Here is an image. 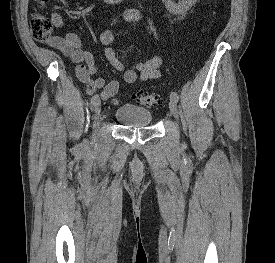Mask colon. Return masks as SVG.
I'll list each match as a JSON object with an SVG mask.
<instances>
[{"instance_id":"1","label":"colon","mask_w":275,"mask_h":263,"mask_svg":"<svg viewBox=\"0 0 275 263\" xmlns=\"http://www.w3.org/2000/svg\"><path fill=\"white\" fill-rule=\"evenodd\" d=\"M48 0H36L38 11H35L31 17V27L35 39L39 42H47L53 36V25L51 21L42 15L39 10L44 8ZM135 102L145 107H156L161 104V98L152 93H135L133 95Z\"/></svg>"}]
</instances>
